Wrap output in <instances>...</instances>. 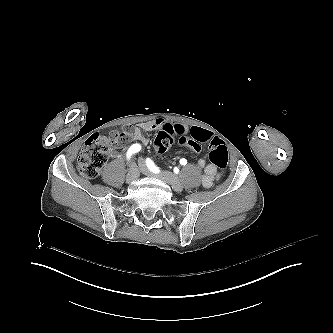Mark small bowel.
Here are the masks:
<instances>
[{"label":"small bowel","mask_w":333,"mask_h":333,"mask_svg":"<svg viewBox=\"0 0 333 333\" xmlns=\"http://www.w3.org/2000/svg\"><path fill=\"white\" fill-rule=\"evenodd\" d=\"M167 127H172V126H170V123L168 121L162 118H156L151 121L140 123L138 126L130 128V131L132 132L130 134V140L134 143V145H139V144L146 145L149 142V139L146 138L142 132L163 130ZM182 131L184 133H187L189 131V128L187 126H184L182 128ZM190 135L191 137H198V138L211 137L209 131L201 128H192L190 130ZM198 164L204 170V175L202 177V185L204 188H210L219 179V173L214 165L206 164L204 159H200Z\"/></svg>","instance_id":"small-bowel-1"}]
</instances>
